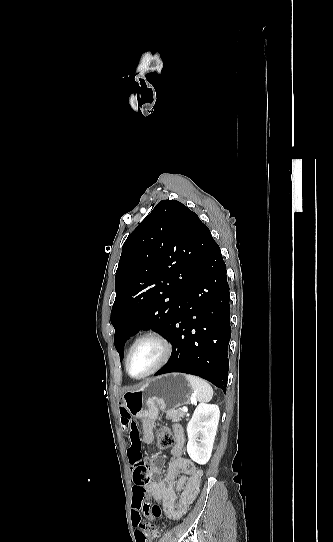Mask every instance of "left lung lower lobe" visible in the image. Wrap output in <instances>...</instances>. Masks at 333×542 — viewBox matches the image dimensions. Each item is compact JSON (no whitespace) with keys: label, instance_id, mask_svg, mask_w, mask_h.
<instances>
[{"label":"left lung lower lobe","instance_id":"1","mask_svg":"<svg viewBox=\"0 0 333 542\" xmlns=\"http://www.w3.org/2000/svg\"><path fill=\"white\" fill-rule=\"evenodd\" d=\"M231 336L226 265L213 241L183 297V308L168 337L172 354L154 375L182 372L204 378L226 392Z\"/></svg>","mask_w":333,"mask_h":542}]
</instances>
